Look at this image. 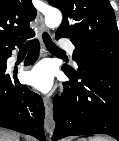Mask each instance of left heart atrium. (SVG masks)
<instances>
[{
    "label": "left heart atrium",
    "mask_w": 119,
    "mask_h": 141,
    "mask_svg": "<svg viewBox=\"0 0 119 141\" xmlns=\"http://www.w3.org/2000/svg\"><path fill=\"white\" fill-rule=\"evenodd\" d=\"M53 68L49 62L43 61L26 73V81L37 90L47 92L53 83Z\"/></svg>",
    "instance_id": "39dd6f15"
}]
</instances>
